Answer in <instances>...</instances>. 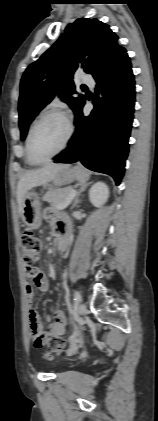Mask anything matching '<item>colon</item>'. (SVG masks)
<instances>
[{"mask_svg": "<svg viewBox=\"0 0 158 421\" xmlns=\"http://www.w3.org/2000/svg\"><path fill=\"white\" fill-rule=\"evenodd\" d=\"M21 249L23 259L26 267H35L41 252V241L36 237L30 230H25L20 236ZM40 341L36 340V344L39 345ZM46 357L51 359L54 355L60 353L66 346L65 340L58 335L50 336L46 341Z\"/></svg>", "mask_w": 158, "mask_h": 421, "instance_id": "obj_1", "label": "colon"}]
</instances>
